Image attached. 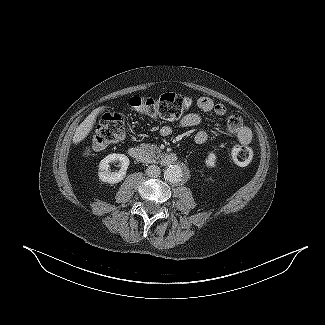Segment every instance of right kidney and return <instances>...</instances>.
Here are the masks:
<instances>
[{"mask_svg":"<svg viewBox=\"0 0 325 325\" xmlns=\"http://www.w3.org/2000/svg\"><path fill=\"white\" fill-rule=\"evenodd\" d=\"M120 162V169L118 172H110L109 171V163L110 162ZM129 166V159L124 154H109L104 159H102L99 163V179L103 182L108 183H118L122 181L126 176V171Z\"/></svg>","mask_w":325,"mask_h":325,"instance_id":"right-kidney-1","label":"right kidney"}]
</instances>
